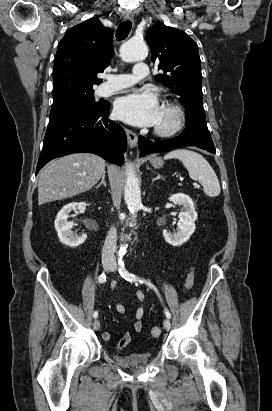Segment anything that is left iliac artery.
Instances as JSON below:
<instances>
[{
	"instance_id": "left-iliac-artery-1",
	"label": "left iliac artery",
	"mask_w": 272,
	"mask_h": 411,
	"mask_svg": "<svg viewBox=\"0 0 272 411\" xmlns=\"http://www.w3.org/2000/svg\"><path fill=\"white\" fill-rule=\"evenodd\" d=\"M119 265H120L119 273H120V275H121L125 280H127V281H129V282H139V283H141V284H142V283H146L149 287L153 288V289L156 291V293L159 295L156 287H155L150 281H145V280H143V279H140V278L136 277L134 274L129 273V272L125 269L124 262H123L122 259H119ZM165 315H166V317H167L168 319L171 318V314H170V312H169V310H168L167 308H165Z\"/></svg>"
}]
</instances>
